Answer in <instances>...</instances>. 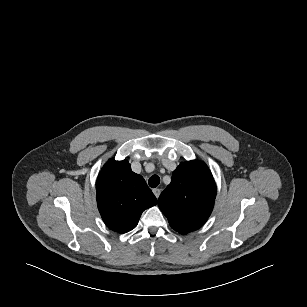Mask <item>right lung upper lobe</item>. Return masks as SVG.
Listing matches in <instances>:
<instances>
[{
	"instance_id": "obj_1",
	"label": "right lung upper lobe",
	"mask_w": 307,
	"mask_h": 307,
	"mask_svg": "<svg viewBox=\"0 0 307 307\" xmlns=\"http://www.w3.org/2000/svg\"><path fill=\"white\" fill-rule=\"evenodd\" d=\"M96 192L104 223L118 233L134 229L142 212L157 204L144 178L126 160H108L98 175Z\"/></svg>"
}]
</instances>
